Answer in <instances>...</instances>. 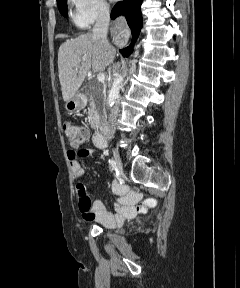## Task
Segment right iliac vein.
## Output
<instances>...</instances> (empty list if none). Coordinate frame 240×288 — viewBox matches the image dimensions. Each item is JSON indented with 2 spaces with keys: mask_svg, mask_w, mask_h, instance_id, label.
I'll return each instance as SVG.
<instances>
[{
  "mask_svg": "<svg viewBox=\"0 0 240 288\" xmlns=\"http://www.w3.org/2000/svg\"><path fill=\"white\" fill-rule=\"evenodd\" d=\"M112 153H113V158L115 162V167L120 173H122V162H121L119 153L116 149H112Z\"/></svg>",
  "mask_w": 240,
  "mask_h": 288,
  "instance_id": "right-iliac-vein-1",
  "label": "right iliac vein"
}]
</instances>
